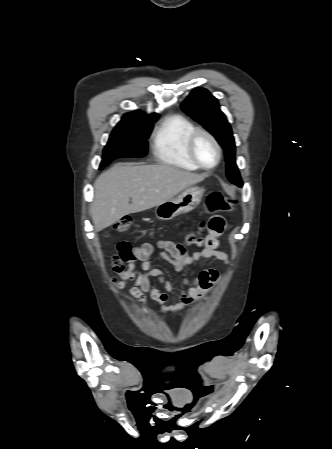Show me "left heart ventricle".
I'll return each mask as SVG.
<instances>
[{"label":"left heart ventricle","mask_w":332,"mask_h":449,"mask_svg":"<svg viewBox=\"0 0 332 449\" xmlns=\"http://www.w3.org/2000/svg\"><path fill=\"white\" fill-rule=\"evenodd\" d=\"M195 152L199 160L206 166H210L216 161V149L212 142L204 136L197 139Z\"/></svg>","instance_id":"obj_1"}]
</instances>
